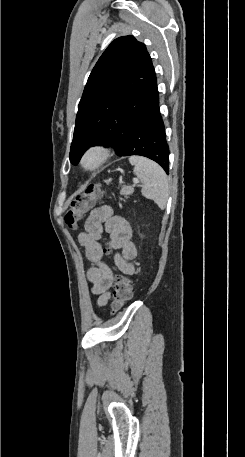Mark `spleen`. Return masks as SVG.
I'll return each instance as SVG.
<instances>
[{"instance_id": "obj_1", "label": "spleen", "mask_w": 245, "mask_h": 457, "mask_svg": "<svg viewBox=\"0 0 245 457\" xmlns=\"http://www.w3.org/2000/svg\"><path fill=\"white\" fill-rule=\"evenodd\" d=\"M130 164H133V172L143 182L141 190L143 196L152 198L159 208H166L169 196V184L165 170L159 166L154 160L146 158V156H137L132 154L129 156Z\"/></svg>"}]
</instances>
